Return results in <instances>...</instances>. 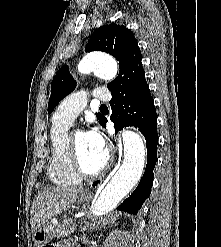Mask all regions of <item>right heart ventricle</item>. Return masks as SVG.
Masks as SVG:
<instances>
[{"instance_id":"e07e8e85","label":"right heart ventricle","mask_w":221,"mask_h":247,"mask_svg":"<svg viewBox=\"0 0 221 247\" xmlns=\"http://www.w3.org/2000/svg\"><path fill=\"white\" fill-rule=\"evenodd\" d=\"M67 128V123L53 119L50 132L48 176L50 181L58 186H76L81 181L73 168Z\"/></svg>"}]
</instances>
